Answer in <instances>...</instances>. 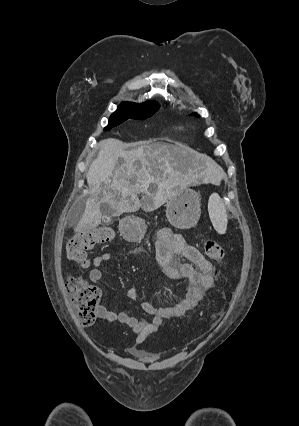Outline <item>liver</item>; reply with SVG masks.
Wrapping results in <instances>:
<instances>
[{
    "label": "liver",
    "mask_w": 299,
    "mask_h": 426,
    "mask_svg": "<svg viewBox=\"0 0 299 426\" xmlns=\"http://www.w3.org/2000/svg\"><path fill=\"white\" fill-rule=\"evenodd\" d=\"M123 160L118 165V159ZM194 152L177 143H146L125 150L117 139L100 143L97 158L91 163L86 179L90 197L77 230L96 228L101 223L100 206L109 204L115 215L136 212L139 208L153 211L175 194V189L186 180L184 171L194 164ZM206 173L221 179L223 170L208 159ZM139 194L144 196L140 200Z\"/></svg>",
    "instance_id": "liver-1"
}]
</instances>
